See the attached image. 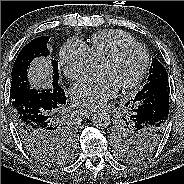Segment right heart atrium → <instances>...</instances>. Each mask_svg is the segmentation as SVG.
I'll use <instances>...</instances> for the list:
<instances>
[{"instance_id": "1", "label": "right heart atrium", "mask_w": 184, "mask_h": 184, "mask_svg": "<svg viewBox=\"0 0 184 184\" xmlns=\"http://www.w3.org/2000/svg\"><path fill=\"white\" fill-rule=\"evenodd\" d=\"M59 65L71 80H77L95 68L88 46L76 38L68 40L61 47Z\"/></svg>"}]
</instances>
